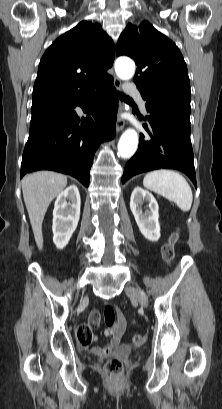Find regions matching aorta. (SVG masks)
I'll use <instances>...</instances> for the list:
<instances>
[{"label": "aorta", "mask_w": 222, "mask_h": 409, "mask_svg": "<svg viewBox=\"0 0 222 409\" xmlns=\"http://www.w3.org/2000/svg\"><path fill=\"white\" fill-rule=\"evenodd\" d=\"M115 71L122 80H128L133 77L135 64L132 60L120 57L115 62ZM138 148V134L134 129H127L118 142V155L123 159L131 158Z\"/></svg>", "instance_id": "obj_1"}]
</instances>
